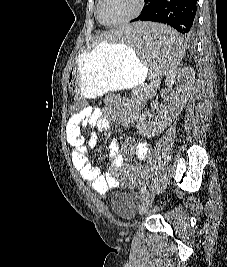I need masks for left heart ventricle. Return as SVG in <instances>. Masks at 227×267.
Masks as SVG:
<instances>
[{"label":"left heart ventricle","instance_id":"left-heart-ventricle-1","mask_svg":"<svg viewBox=\"0 0 227 267\" xmlns=\"http://www.w3.org/2000/svg\"><path fill=\"white\" fill-rule=\"evenodd\" d=\"M137 0H103L101 18L106 23L118 21L129 15L136 7Z\"/></svg>","mask_w":227,"mask_h":267}]
</instances>
